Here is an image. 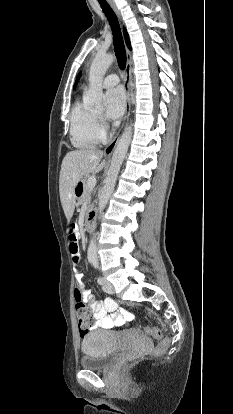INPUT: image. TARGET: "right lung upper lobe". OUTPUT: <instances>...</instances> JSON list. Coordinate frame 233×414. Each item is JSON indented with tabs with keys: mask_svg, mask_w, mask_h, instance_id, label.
Returning a JSON list of instances; mask_svg holds the SVG:
<instances>
[{
	"mask_svg": "<svg viewBox=\"0 0 233 414\" xmlns=\"http://www.w3.org/2000/svg\"><path fill=\"white\" fill-rule=\"evenodd\" d=\"M124 37H125V41H126V44H127L128 48L131 50L129 36H128L127 31H126L125 28H124Z\"/></svg>",
	"mask_w": 233,
	"mask_h": 414,
	"instance_id": "obj_1",
	"label": "right lung upper lobe"
}]
</instances>
